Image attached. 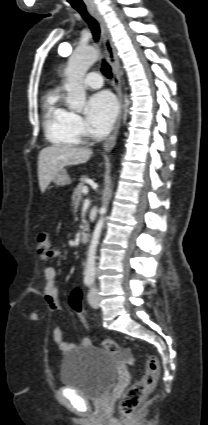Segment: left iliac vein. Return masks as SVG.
I'll use <instances>...</instances> for the list:
<instances>
[{"mask_svg": "<svg viewBox=\"0 0 208 425\" xmlns=\"http://www.w3.org/2000/svg\"><path fill=\"white\" fill-rule=\"evenodd\" d=\"M88 300H89V304L91 305V307L93 308H98L99 307V299H98V290L95 287H92L89 295H88Z\"/></svg>", "mask_w": 208, "mask_h": 425, "instance_id": "obj_1", "label": "left iliac vein"}]
</instances>
